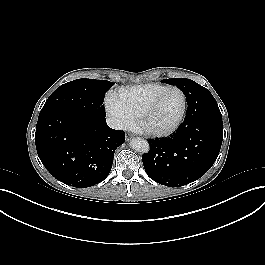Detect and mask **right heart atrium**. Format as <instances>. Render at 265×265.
<instances>
[{
  "mask_svg": "<svg viewBox=\"0 0 265 265\" xmlns=\"http://www.w3.org/2000/svg\"><path fill=\"white\" fill-rule=\"evenodd\" d=\"M105 108L118 128L126 129L134 124V117L122 104L116 92H110L105 97Z\"/></svg>",
  "mask_w": 265,
  "mask_h": 265,
  "instance_id": "1",
  "label": "right heart atrium"
}]
</instances>
